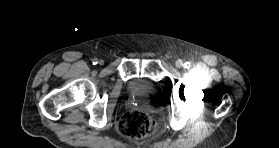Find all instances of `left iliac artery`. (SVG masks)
<instances>
[{
    "label": "left iliac artery",
    "instance_id": "44dca946",
    "mask_svg": "<svg viewBox=\"0 0 279 148\" xmlns=\"http://www.w3.org/2000/svg\"><path fill=\"white\" fill-rule=\"evenodd\" d=\"M190 67H191V63L190 62L187 61V62L184 63V68L188 69Z\"/></svg>",
    "mask_w": 279,
    "mask_h": 148
}]
</instances>
